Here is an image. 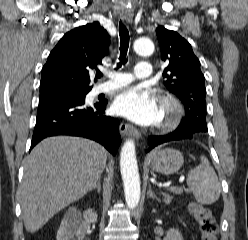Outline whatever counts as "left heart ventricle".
<instances>
[{"instance_id": "obj_1", "label": "left heart ventricle", "mask_w": 248, "mask_h": 240, "mask_svg": "<svg viewBox=\"0 0 248 240\" xmlns=\"http://www.w3.org/2000/svg\"><path fill=\"white\" fill-rule=\"evenodd\" d=\"M161 115L163 116L164 110L160 107Z\"/></svg>"}]
</instances>
